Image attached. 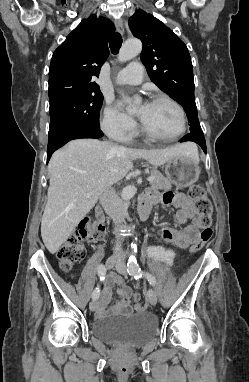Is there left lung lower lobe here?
Returning a JSON list of instances; mask_svg holds the SVG:
<instances>
[{
  "label": "left lung lower lobe",
  "instance_id": "left-lung-lower-lobe-1",
  "mask_svg": "<svg viewBox=\"0 0 249 382\" xmlns=\"http://www.w3.org/2000/svg\"><path fill=\"white\" fill-rule=\"evenodd\" d=\"M185 141H193L201 146V148L204 150L206 153V142L204 138V134L202 133H197V132H192L189 133L188 135L184 136L180 142H185Z\"/></svg>",
  "mask_w": 249,
  "mask_h": 382
}]
</instances>
